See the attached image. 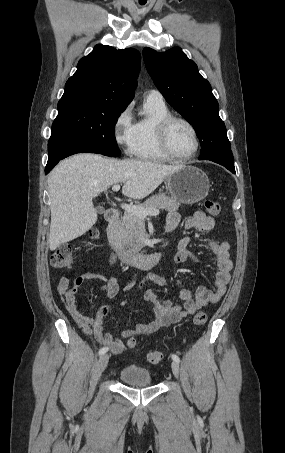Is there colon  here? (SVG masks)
<instances>
[{"label":"colon","mask_w":285,"mask_h":453,"mask_svg":"<svg viewBox=\"0 0 285 453\" xmlns=\"http://www.w3.org/2000/svg\"><path fill=\"white\" fill-rule=\"evenodd\" d=\"M207 212L211 216H217L221 212V206L218 202L212 200H206L204 202ZM99 234L97 228H92L89 230V236L91 238H96ZM51 265L54 268L58 269H71L74 265L73 252L70 245H61L59 246L50 257ZM207 321V313L203 310L198 311L193 319V322L197 326L205 324ZM129 347L133 348L136 345V340L134 338H129L128 340ZM163 359V353L160 351H151L147 355V360L151 364H158Z\"/></svg>","instance_id":"colon-1"}]
</instances>
